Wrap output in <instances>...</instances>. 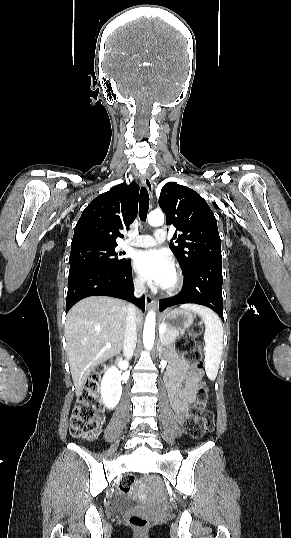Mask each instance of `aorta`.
<instances>
[{
  "mask_svg": "<svg viewBox=\"0 0 291 538\" xmlns=\"http://www.w3.org/2000/svg\"><path fill=\"white\" fill-rule=\"evenodd\" d=\"M147 221L151 226H160L164 223V215L158 211L151 212L147 217ZM155 326L156 314L152 310L146 316L143 330V344L146 350H151L154 345Z\"/></svg>",
  "mask_w": 291,
  "mask_h": 538,
  "instance_id": "aorta-1",
  "label": "aorta"
}]
</instances>
